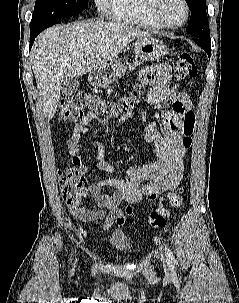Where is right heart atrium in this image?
<instances>
[{
    "instance_id": "obj_1",
    "label": "right heart atrium",
    "mask_w": 239,
    "mask_h": 303,
    "mask_svg": "<svg viewBox=\"0 0 239 303\" xmlns=\"http://www.w3.org/2000/svg\"><path fill=\"white\" fill-rule=\"evenodd\" d=\"M98 10L103 13L107 14L111 11L113 0H94Z\"/></svg>"
}]
</instances>
